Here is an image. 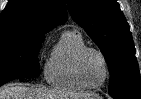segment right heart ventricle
I'll list each match as a JSON object with an SVG mask.
<instances>
[{
  "label": "right heart ventricle",
  "instance_id": "right-heart-ventricle-1",
  "mask_svg": "<svg viewBox=\"0 0 141 99\" xmlns=\"http://www.w3.org/2000/svg\"><path fill=\"white\" fill-rule=\"evenodd\" d=\"M85 46L80 33L76 31L62 33L44 66V76L49 85L71 92L86 89L77 80L74 70L76 55Z\"/></svg>",
  "mask_w": 141,
  "mask_h": 99
}]
</instances>
